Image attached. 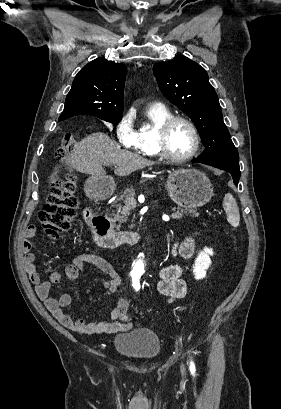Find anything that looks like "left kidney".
Returning a JSON list of instances; mask_svg holds the SVG:
<instances>
[{"label":"left kidney","instance_id":"5707ae66","mask_svg":"<svg viewBox=\"0 0 281 409\" xmlns=\"http://www.w3.org/2000/svg\"><path fill=\"white\" fill-rule=\"evenodd\" d=\"M210 255H214L213 249L204 247L203 251H199L193 265L194 279H204L206 277V271L211 265Z\"/></svg>","mask_w":281,"mask_h":409}]
</instances>
